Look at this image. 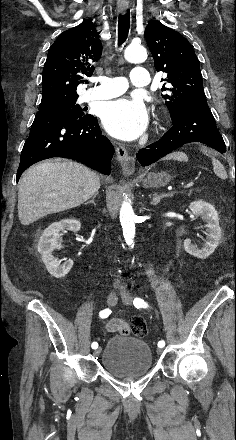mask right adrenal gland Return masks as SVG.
<instances>
[{"mask_svg": "<svg viewBox=\"0 0 236 440\" xmlns=\"http://www.w3.org/2000/svg\"><path fill=\"white\" fill-rule=\"evenodd\" d=\"M96 196H97V194H95V195L92 197V199H91L90 201L86 202L85 204L92 203L93 205H96V203H95V201H94V199L96 198Z\"/></svg>", "mask_w": 236, "mask_h": 440, "instance_id": "2a0ac1e0", "label": "right adrenal gland"}]
</instances>
